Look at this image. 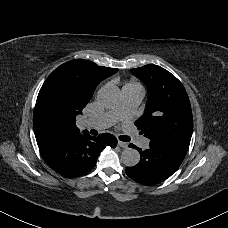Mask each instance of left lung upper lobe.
<instances>
[{
    "label": "left lung upper lobe",
    "instance_id": "left-lung-upper-lobe-1",
    "mask_svg": "<svg viewBox=\"0 0 228 228\" xmlns=\"http://www.w3.org/2000/svg\"><path fill=\"white\" fill-rule=\"evenodd\" d=\"M130 72L148 89L145 112L135 122L140 134L150 140H162L188 149L193 117L182 83L169 71L153 64Z\"/></svg>",
    "mask_w": 228,
    "mask_h": 228
}]
</instances>
